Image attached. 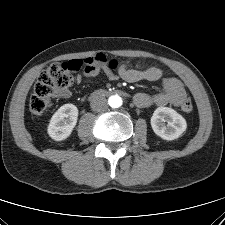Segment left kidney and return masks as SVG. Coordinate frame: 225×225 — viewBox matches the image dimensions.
Segmentation results:
<instances>
[{
    "instance_id": "5707ae66",
    "label": "left kidney",
    "mask_w": 225,
    "mask_h": 225,
    "mask_svg": "<svg viewBox=\"0 0 225 225\" xmlns=\"http://www.w3.org/2000/svg\"><path fill=\"white\" fill-rule=\"evenodd\" d=\"M167 122V125H165ZM151 126L156 135L164 140H175L186 130V120L169 107H158L152 117Z\"/></svg>"
}]
</instances>
